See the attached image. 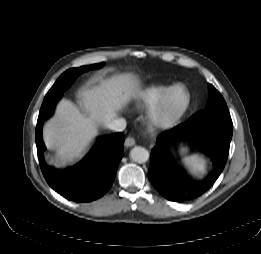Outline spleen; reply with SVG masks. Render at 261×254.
I'll return each mask as SVG.
<instances>
[{
	"label": "spleen",
	"instance_id": "1",
	"mask_svg": "<svg viewBox=\"0 0 261 254\" xmlns=\"http://www.w3.org/2000/svg\"><path fill=\"white\" fill-rule=\"evenodd\" d=\"M183 163L194 175L200 176L205 172V160L198 155L187 157Z\"/></svg>",
	"mask_w": 261,
	"mask_h": 254
}]
</instances>
